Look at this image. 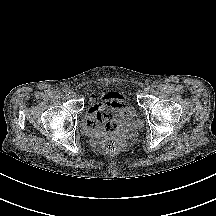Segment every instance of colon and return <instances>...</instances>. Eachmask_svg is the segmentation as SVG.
<instances>
[{
	"label": "colon",
	"instance_id": "5ec220e1",
	"mask_svg": "<svg viewBox=\"0 0 216 216\" xmlns=\"http://www.w3.org/2000/svg\"><path fill=\"white\" fill-rule=\"evenodd\" d=\"M104 149L108 152H117L127 147V143L119 137L110 136L103 142Z\"/></svg>",
	"mask_w": 216,
	"mask_h": 216
}]
</instances>
